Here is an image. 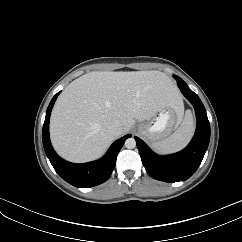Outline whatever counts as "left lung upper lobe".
Masks as SVG:
<instances>
[{
    "label": "left lung upper lobe",
    "mask_w": 242,
    "mask_h": 242,
    "mask_svg": "<svg viewBox=\"0 0 242 242\" xmlns=\"http://www.w3.org/2000/svg\"><path fill=\"white\" fill-rule=\"evenodd\" d=\"M174 78L177 80L178 76L174 75ZM180 78V77H179Z\"/></svg>",
    "instance_id": "left-lung-upper-lobe-1"
}]
</instances>
